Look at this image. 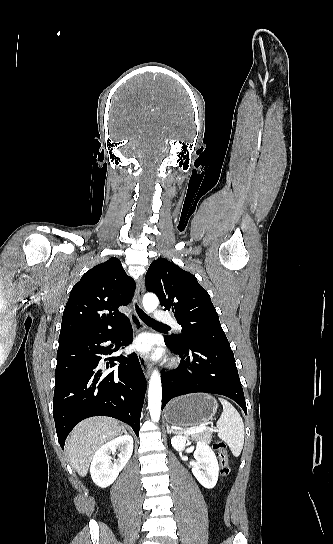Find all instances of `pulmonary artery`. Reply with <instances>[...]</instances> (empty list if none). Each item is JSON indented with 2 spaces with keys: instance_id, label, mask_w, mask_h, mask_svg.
<instances>
[{
  "instance_id": "1",
  "label": "pulmonary artery",
  "mask_w": 333,
  "mask_h": 544,
  "mask_svg": "<svg viewBox=\"0 0 333 544\" xmlns=\"http://www.w3.org/2000/svg\"><path fill=\"white\" fill-rule=\"evenodd\" d=\"M154 317H155V320H157L158 322L171 323V324H174L177 328H179V325L177 324V322L168 313L156 311L154 313Z\"/></svg>"
}]
</instances>
